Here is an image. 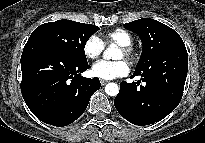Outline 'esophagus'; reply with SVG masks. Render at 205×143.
<instances>
[{
    "instance_id": "obj_1",
    "label": "esophagus",
    "mask_w": 205,
    "mask_h": 143,
    "mask_svg": "<svg viewBox=\"0 0 205 143\" xmlns=\"http://www.w3.org/2000/svg\"><path fill=\"white\" fill-rule=\"evenodd\" d=\"M100 83H101L102 86H104L105 84L108 83V81L101 79V80H100Z\"/></svg>"
}]
</instances>
